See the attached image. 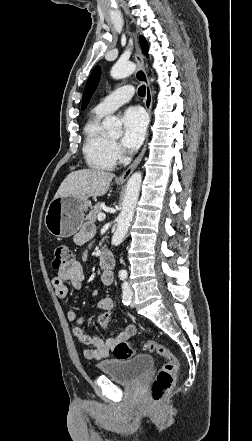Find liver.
I'll return each mask as SVG.
<instances>
[{
	"label": "liver",
	"instance_id": "obj_1",
	"mask_svg": "<svg viewBox=\"0 0 252 441\" xmlns=\"http://www.w3.org/2000/svg\"><path fill=\"white\" fill-rule=\"evenodd\" d=\"M115 175L97 169H81L67 175L58 188L55 198L61 196L98 197L107 193Z\"/></svg>",
	"mask_w": 252,
	"mask_h": 441
}]
</instances>
